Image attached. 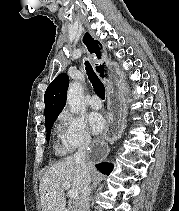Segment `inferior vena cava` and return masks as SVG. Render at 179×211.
Instances as JSON below:
<instances>
[{"mask_svg": "<svg viewBox=\"0 0 179 211\" xmlns=\"http://www.w3.org/2000/svg\"><path fill=\"white\" fill-rule=\"evenodd\" d=\"M90 144V138H86L78 151L74 154V160L81 164L82 169L84 171V187L82 190V194L79 200V210L78 211H89V201L91 194V176L89 166L86 164L85 157L87 148Z\"/></svg>", "mask_w": 179, "mask_h": 211, "instance_id": "obj_1", "label": "inferior vena cava"}]
</instances>
